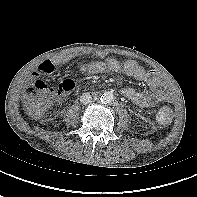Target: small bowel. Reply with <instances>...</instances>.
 I'll return each mask as SVG.
<instances>
[{
    "label": "small bowel",
    "mask_w": 197,
    "mask_h": 197,
    "mask_svg": "<svg viewBox=\"0 0 197 197\" xmlns=\"http://www.w3.org/2000/svg\"><path fill=\"white\" fill-rule=\"evenodd\" d=\"M96 56L105 59L104 61L97 60L83 65L81 67L83 73L89 75L116 73L122 69L127 76L149 85L150 91H139L132 87H126L122 90V94L133 103L142 107H150L160 101H166L173 98L168 82L156 71H146L133 60H129L121 65L117 59L106 57V53L103 51L96 52ZM72 58L73 55H65L54 60L45 61L38 66L33 75L40 76L52 74L60 65L68 63Z\"/></svg>",
    "instance_id": "small-bowel-1"
}]
</instances>
